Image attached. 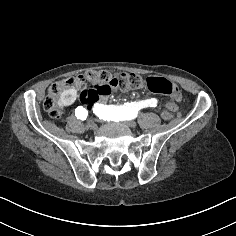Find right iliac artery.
Returning a JSON list of instances; mask_svg holds the SVG:
<instances>
[{"label":"right iliac artery","mask_w":236,"mask_h":236,"mask_svg":"<svg viewBox=\"0 0 236 236\" xmlns=\"http://www.w3.org/2000/svg\"><path fill=\"white\" fill-rule=\"evenodd\" d=\"M87 115H88V111L82 106H78L75 109V116L77 117V119L86 120Z\"/></svg>","instance_id":"82829eb1"}]
</instances>
